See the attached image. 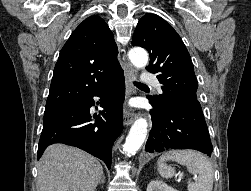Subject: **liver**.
Masks as SVG:
<instances>
[{"mask_svg": "<svg viewBox=\"0 0 251 191\" xmlns=\"http://www.w3.org/2000/svg\"><path fill=\"white\" fill-rule=\"evenodd\" d=\"M103 167L93 155L64 143L45 149L38 165L40 191H94Z\"/></svg>", "mask_w": 251, "mask_h": 191, "instance_id": "1", "label": "liver"}]
</instances>
